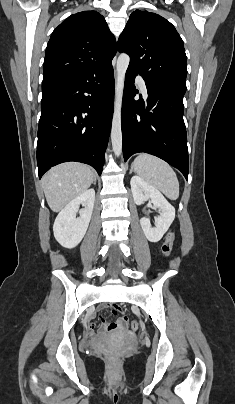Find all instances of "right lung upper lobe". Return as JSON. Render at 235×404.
Returning <instances> with one entry per match:
<instances>
[{
	"instance_id": "1",
	"label": "right lung upper lobe",
	"mask_w": 235,
	"mask_h": 404,
	"mask_svg": "<svg viewBox=\"0 0 235 404\" xmlns=\"http://www.w3.org/2000/svg\"><path fill=\"white\" fill-rule=\"evenodd\" d=\"M116 51L115 37L102 15L93 10L73 14L50 37L43 82L106 68Z\"/></svg>"
}]
</instances>
